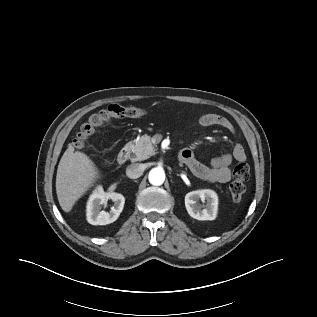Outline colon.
I'll return each instance as SVG.
<instances>
[{
    "label": "colon",
    "mask_w": 317,
    "mask_h": 317,
    "mask_svg": "<svg viewBox=\"0 0 317 317\" xmlns=\"http://www.w3.org/2000/svg\"><path fill=\"white\" fill-rule=\"evenodd\" d=\"M145 114V110L137 107H124L113 104L107 109L93 114L88 122L80 127L74 145L77 148L84 147L87 140L96 131L115 118H137ZM250 168L246 163H239L233 170V180L229 185V190L235 203H240L245 191V182L249 179Z\"/></svg>",
    "instance_id": "5ec220e1"
}]
</instances>
